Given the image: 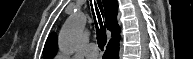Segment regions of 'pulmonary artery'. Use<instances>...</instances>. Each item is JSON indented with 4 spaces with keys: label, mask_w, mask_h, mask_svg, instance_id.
I'll return each instance as SVG.
<instances>
[{
    "label": "pulmonary artery",
    "mask_w": 193,
    "mask_h": 59,
    "mask_svg": "<svg viewBox=\"0 0 193 59\" xmlns=\"http://www.w3.org/2000/svg\"><path fill=\"white\" fill-rule=\"evenodd\" d=\"M85 56L88 59H94L97 57L96 45L94 43L88 45Z\"/></svg>",
    "instance_id": "pulmonary-artery-1"
}]
</instances>
